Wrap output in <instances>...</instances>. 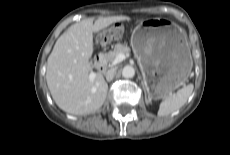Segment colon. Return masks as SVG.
<instances>
[{
	"mask_svg": "<svg viewBox=\"0 0 230 155\" xmlns=\"http://www.w3.org/2000/svg\"><path fill=\"white\" fill-rule=\"evenodd\" d=\"M125 26L121 22H116L108 27V34L103 33L99 36V43L106 46L110 41L116 42L123 38Z\"/></svg>",
	"mask_w": 230,
	"mask_h": 155,
	"instance_id": "colon-1",
	"label": "colon"
}]
</instances>
